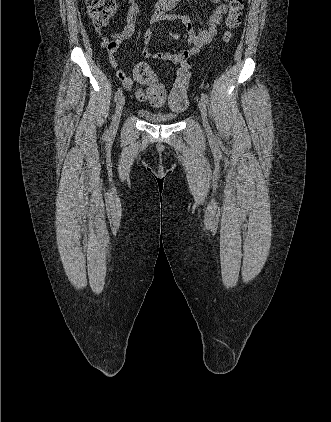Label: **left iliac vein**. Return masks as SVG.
Segmentation results:
<instances>
[{"instance_id": "1", "label": "left iliac vein", "mask_w": 331, "mask_h": 422, "mask_svg": "<svg viewBox=\"0 0 331 422\" xmlns=\"http://www.w3.org/2000/svg\"><path fill=\"white\" fill-rule=\"evenodd\" d=\"M199 108H200V112H201V118H202L203 126H204L205 130L207 132H209L210 127H209V123H208V119H207V108H206V103H205L203 98H201L200 101H199Z\"/></svg>"}]
</instances>
